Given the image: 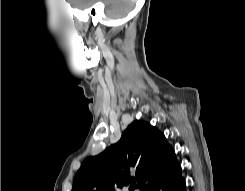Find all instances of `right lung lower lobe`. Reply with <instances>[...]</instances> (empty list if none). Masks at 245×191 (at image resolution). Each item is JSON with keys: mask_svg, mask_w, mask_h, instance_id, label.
<instances>
[{"mask_svg": "<svg viewBox=\"0 0 245 191\" xmlns=\"http://www.w3.org/2000/svg\"><path fill=\"white\" fill-rule=\"evenodd\" d=\"M149 191H186L185 180L181 174V167L176 166L171 172L161 177Z\"/></svg>", "mask_w": 245, "mask_h": 191, "instance_id": "right-lung-lower-lobe-1", "label": "right lung lower lobe"}]
</instances>
